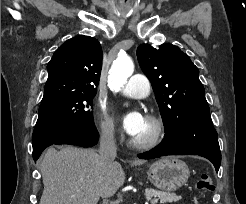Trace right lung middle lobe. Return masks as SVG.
I'll list each match as a JSON object with an SVG mask.
<instances>
[{
    "instance_id": "right-lung-middle-lobe-1",
    "label": "right lung middle lobe",
    "mask_w": 246,
    "mask_h": 204,
    "mask_svg": "<svg viewBox=\"0 0 246 204\" xmlns=\"http://www.w3.org/2000/svg\"><path fill=\"white\" fill-rule=\"evenodd\" d=\"M95 94L72 93L41 101L35 130L93 125L91 109Z\"/></svg>"
}]
</instances>
